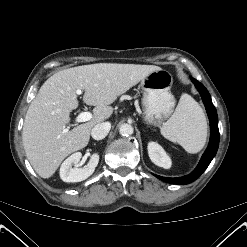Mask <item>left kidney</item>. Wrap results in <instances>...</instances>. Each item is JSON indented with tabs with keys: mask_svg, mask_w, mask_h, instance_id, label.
<instances>
[{
	"mask_svg": "<svg viewBox=\"0 0 247 247\" xmlns=\"http://www.w3.org/2000/svg\"><path fill=\"white\" fill-rule=\"evenodd\" d=\"M148 154L151 161L165 169H169L171 167V159L165 152V150L156 142H149L148 143Z\"/></svg>",
	"mask_w": 247,
	"mask_h": 247,
	"instance_id": "obj_1",
	"label": "left kidney"
}]
</instances>
